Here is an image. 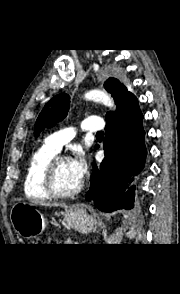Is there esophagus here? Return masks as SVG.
Returning <instances> with one entry per match:
<instances>
[{
	"label": "esophagus",
	"mask_w": 180,
	"mask_h": 294,
	"mask_svg": "<svg viewBox=\"0 0 180 294\" xmlns=\"http://www.w3.org/2000/svg\"><path fill=\"white\" fill-rule=\"evenodd\" d=\"M75 211H77V212H83V211H84V208H83L82 205H77V206L75 207Z\"/></svg>",
	"instance_id": "1"
}]
</instances>
